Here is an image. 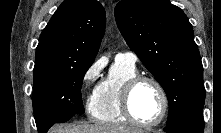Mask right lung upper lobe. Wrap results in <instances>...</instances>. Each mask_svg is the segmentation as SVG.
Returning <instances> with one entry per match:
<instances>
[{"label":"right lung upper lobe","instance_id":"right-lung-upper-lobe-1","mask_svg":"<svg viewBox=\"0 0 221 133\" xmlns=\"http://www.w3.org/2000/svg\"><path fill=\"white\" fill-rule=\"evenodd\" d=\"M105 22V10L99 1L64 0L41 33L34 71L93 62Z\"/></svg>","mask_w":221,"mask_h":133}]
</instances>
